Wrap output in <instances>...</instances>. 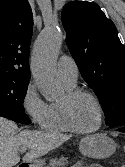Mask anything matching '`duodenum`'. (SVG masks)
Here are the masks:
<instances>
[{"instance_id":"410a0bca","label":"duodenum","mask_w":125,"mask_h":167,"mask_svg":"<svg viewBox=\"0 0 125 167\" xmlns=\"http://www.w3.org/2000/svg\"><path fill=\"white\" fill-rule=\"evenodd\" d=\"M18 167H28V164L22 163V164H20Z\"/></svg>"}]
</instances>
